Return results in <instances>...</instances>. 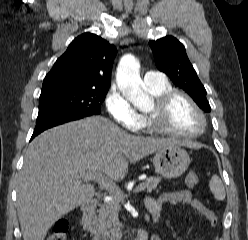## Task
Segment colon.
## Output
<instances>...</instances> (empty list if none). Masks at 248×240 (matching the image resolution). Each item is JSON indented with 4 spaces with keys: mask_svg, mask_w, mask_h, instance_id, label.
<instances>
[{
    "mask_svg": "<svg viewBox=\"0 0 248 240\" xmlns=\"http://www.w3.org/2000/svg\"><path fill=\"white\" fill-rule=\"evenodd\" d=\"M198 182V176L195 172H189L186 176L185 183L188 187H193ZM68 224L65 220H59L55 223L54 228L47 240H66Z\"/></svg>",
    "mask_w": 248,
    "mask_h": 240,
    "instance_id": "obj_1",
    "label": "colon"
}]
</instances>
